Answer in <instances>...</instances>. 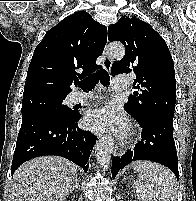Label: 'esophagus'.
<instances>
[{"label":"esophagus","mask_w":196,"mask_h":201,"mask_svg":"<svg viewBox=\"0 0 196 201\" xmlns=\"http://www.w3.org/2000/svg\"><path fill=\"white\" fill-rule=\"evenodd\" d=\"M104 67L105 69L110 72L111 71V66H112V59H110L107 54L106 51L104 50ZM124 153V147L122 145H116L114 147V155L115 156H121Z\"/></svg>","instance_id":"34e87169"}]
</instances>
